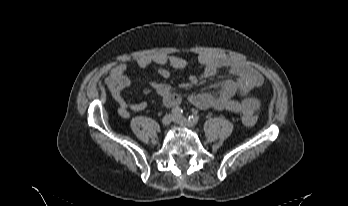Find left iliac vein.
<instances>
[{
    "mask_svg": "<svg viewBox=\"0 0 348 206\" xmlns=\"http://www.w3.org/2000/svg\"><path fill=\"white\" fill-rule=\"evenodd\" d=\"M173 121L181 126H185L188 128L194 127L195 124L189 122V120L185 117H175Z\"/></svg>",
    "mask_w": 348,
    "mask_h": 206,
    "instance_id": "4c4485c4",
    "label": "left iliac vein"
}]
</instances>
